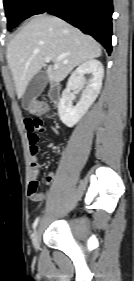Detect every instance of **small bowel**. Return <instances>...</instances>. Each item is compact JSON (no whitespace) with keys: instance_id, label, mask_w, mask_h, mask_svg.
<instances>
[{"instance_id":"1","label":"small bowel","mask_w":134,"mask_h":281,"mask_svg":"<svg viewBox=\"0 0 134 281\" xmlns=\"http://www.w3.org/2000/svg\"><path fill=\"white\" fill-rule=\"evenodd\" d=\"M24 125L25 128L27 130L28 133V139H29V144H30V154H31V170H30V180L31 181H37L38 177L40 175V169H41V165L38 161L37 158V152H38V133L42 132L46 129L45 123L43 122V120L41 118L38 117H27L24 119ZM56 132L57 130L54 129ZM48 146L50 148H54L55 145L54 143L50 142L48 144ZM56 178V173L54 171L50 172L49 174H47V176L45 177V182L47 184H51L53 183V181ZM43 198V195L40 199H33L36 201H39Z\"/></svg>"}]
</instances>
